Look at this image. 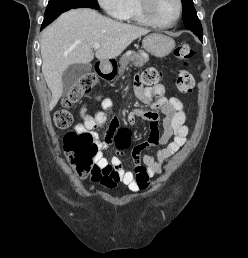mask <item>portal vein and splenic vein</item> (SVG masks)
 Returning <instances> with one entry per match:
<instances>
[{
    "label": "portal vein and splenic vein",
    "mask_w": 248,
    "mask_h": 258,
    "mask_svg": "<svg viewBox=\"0 0 248 258\" xmlns=\"http://www.w3.org/2000/svg\"><path fill=\"white\" fill-rule=\"evenodd\" d=\"M100 44L99 43H96V44H94V46H93V48L95 49V50H97V49H99L100 48Z\"/></svg>",
    "instance_id": "obj_1"
}]
</instances>
